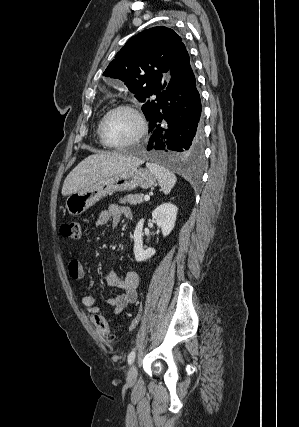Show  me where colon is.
<instances>
[{
	"label": "colon",
	"mask_w": 299,
	"mask_h": 427,
	"mask_svg": "<svg viewBox=\"0 0 299 427\" xmlns=\"http://www.w3.org/2000/svg\"><path fill=\"white\" fill-rule=\"evenodd\" d=\"M60 233L63 237L69 239H79L81 237V226L78 222L64 223L60 227ZM96 331L108 343L114 341V335L109 323L99 314L92 317Z\"/></svg>",
	"instance_id": "obj_1"
}]
</instances>
